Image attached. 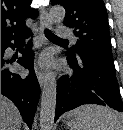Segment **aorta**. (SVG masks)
I'll return each instance as SVG.
<instances>
[{"instance_id":"1","label":"aorta","mask_w":123,"mask_h":130,"mask_svg":"<svg viewBox=\"0 0 123 130\" xmlns=\"http://www.w3.org/2000/svg\"><path fill=\"white\" fill-rule=\"evenodd\" d=\"M65 17V9L56 5L49 11V19L53 23H60ZM56 95H57V82L56 74L49 71L45 75L44 84L41 93V108H40V129L51 130L55 118L56 110Z\"/></svg>"}]
</instances>
